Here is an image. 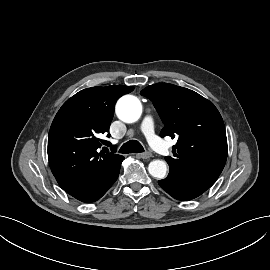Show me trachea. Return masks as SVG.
Wrapping results in <instances>:
<instances>
[{
	"label": "trachea",
	"mask_w": 270,
	"mask_h": 270,
	"mask_svg": "<svg viewBox=\"0 0 270 270\" xmlns=\"http://www.w3.org/2000/svg\"><path fill=\"white\" fill-rule=\"evenodd\" d=\"M119 152L123 154L141 153L144 152V148L137 140H130L122 145Z\"/></svg>",
	"instance_id": "3493384b"
}]
</instances>
